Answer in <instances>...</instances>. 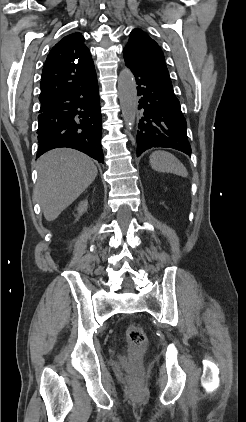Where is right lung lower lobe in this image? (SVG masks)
Masks as SVG:
<instances>
[{
    "label": "right lung lower lobe",
    "mask_w": 246,
    "mask_h": 422,
    "mask_svg": "<svg viewBox=\"0 0 246 422\" xmlns=\"http://www.w3.org/2000/svg\"><path fill=\"white\" fill-rule=\"evenodd\" d=\"M38 154L58 147L74 148L104 163L97 77L41 104Z\"/></svg>",
    "instance_id": "1"
}]
</instances>
